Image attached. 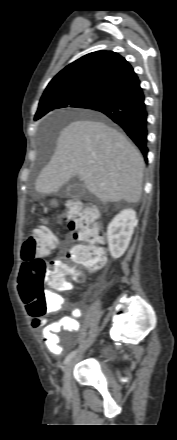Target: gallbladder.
I'll use <instances>...</instances> for the list:
<instances>
[{
	"instance_id": "obj_1",
	"label": "gallbladder",
	"mask_w": 177,
	"mask_h": 440,
	"mask_svg": "<svg viewBox=\"0 0 177 440\" xmlns=\"http://www.w3.org/2000/svg\"><path fill=\"white\" fill-rule=\"evenodd\" d=\"M85 193V187L79 183H71L67 187V196L79 198Z\"/></svg>"
}]
</instances>
